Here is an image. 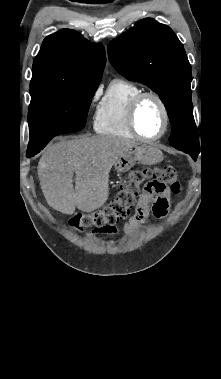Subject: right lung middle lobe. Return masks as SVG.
<instances>
[{"mask_svg": "<svg viewBox=\"0 0 221 379\" xmlns=\"http://www.w3.org/2000/svg\"><path fill=\"white\" fill-rule=\"evenodd\" d=\"M98 86L80 85L31 95L29 146L45 147L56 135L84 128Z\"/></svg>", "mask_w": 221, "mask_h": 379, "instance_id": "dd1d6c3e", "label": "right lung middle lobe"}]
</instances>
